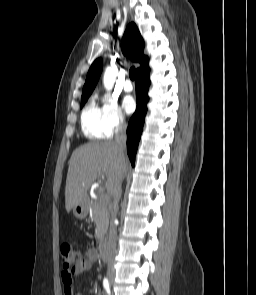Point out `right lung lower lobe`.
Returning <instances> with one entry per match:
<instances>
[{
    "label": "right lung lower lobe",
    "mask_w": 256,
    "mask_h": 295,
    "mask_svg": "<svg viewBox=\"0 0 256 295\" xmlns=\"http://www.w3.org/2000/svg\"><path fill=\"white\" fill-rule=\"evenodd\" d=\"M149 69L136 75V101L137 108L131 117L127 129V153L132 166L135 164V155L138 143L141 137L144 125L145 115L147 112L148 88L150 85Z\"/></svg>",
    "instance_id": "98d812e1"
}]
</instances>
